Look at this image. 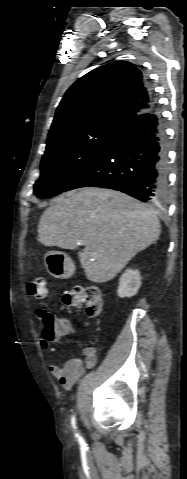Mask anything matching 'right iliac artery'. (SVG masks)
<instances>
[{"label":"right iliac artery","mask_w":187,"mask_h":479,"mask_svg":"<svg viewBox=\"0 0 187 479\" xmlns=\"http://www.w3.org/2000/svg\"><path fill=\"white\" fill-rule=\"evenodd\" d=\"M71 423H72L73 428L75 429L76 427H75V418H74V416L72 417Z\"/></svg>","instance_id":"1"}]
</instances>
